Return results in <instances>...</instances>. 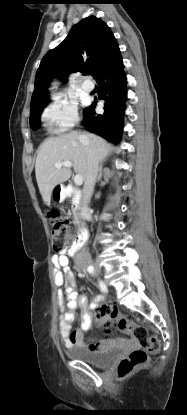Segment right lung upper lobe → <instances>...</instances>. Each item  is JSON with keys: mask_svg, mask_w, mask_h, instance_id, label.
I'll use <instances>...</instances> for the list:
<instances>
[{"mask_svg": "<svg viewBox=\"0 0 187 415\" xmlns=\"http://www.w3.org/2000/svg\"><path fill=\"white\" fill-rule=\"evenodd\" d=\"M120 53L110 28L101 19L90 16L74 25L56 48L41 60L35 77L30 112L48 103V86L52 78L62 82L71 72L89 69L96 76Z\"/></svg>", "mask_w": 187, "mask_h": 415, "instance_id": "cb5924a9", "label": "right lung upper lobe"}]
</instances>
